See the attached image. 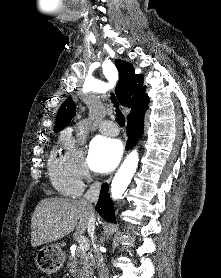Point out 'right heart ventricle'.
I'll return each mask as SVG.
<instances>
[{
  "label": "right heart ventricle",
  "instance_id": "obj_1",
  "mask_svg": "<svg viewBox=\"0 0 221 278\" xmlns=\"http://www.w3.org/2000/svg\"><path fill=\"white\" fill-rule=\"evenodd\" d=\"M49 174L54 187L63 195L77 196L82 191V182L72 171L65 156L56 151L49 160Z\"/></svg>",
  "mask_w": 221,
  "mask_h": 278
}]
</instances>
